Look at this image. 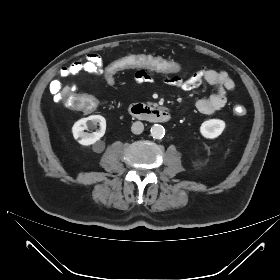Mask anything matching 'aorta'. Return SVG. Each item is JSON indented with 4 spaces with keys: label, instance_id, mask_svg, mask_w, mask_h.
I'll list each match as a JSON object with an SVG mask.
<instances>
[{
    "label": "aorta",
    "instance_id": "aorta-1",
    "mask_svg": "<svg viewBox=\"0 0 280 280\" xmlns=\"http://www.w3.org/2000/svg\"><path fill=\"white\" fill-rule=\"evenodd\" d=\"M151 136L155 139H161L165 135V129L162 125L155 124L151 127Z\"/></svg>",
    "mask_w": 280,
    "mask_h": 280
}]
</instances>
